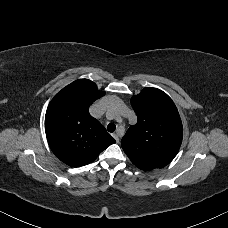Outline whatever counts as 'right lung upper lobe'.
Returning a JSON list of instances; mask_svg holds the SVG:
<instances>
[{
    "instance_id": "right-lung-upper-lobe-1",
    "label": "right lung upper lobe",
    "mask_w": 228,
    "mask_h": 228,
    "mask_svg": "<svg viewBox=\"0 0 228 228\" xmlns=\"http://www.w3.org/2000/svg\"><path fill=\"white\" fill-rule=\"evenodd\" d=\"M104 94L94 82L79 79L51 100L45 116V131L51 150L62 162L74 167L86 165L116 142L88 111Z\"/></svg>"
}]
</instances>
